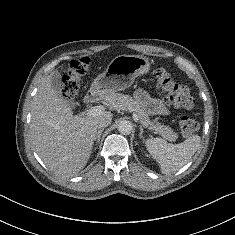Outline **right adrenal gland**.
Wrapping results in <instances>:
<instances>
[{"instance_id": "obj_1", "label": "right adrenal gland", "mask_w": 235, "mask_h": 235, "mask_svg": "<svg viewBox=\"0 0 235 235\" xmlns=\"http://www.w3.org/2000/svg\"><path fill=\"white\" fill-rule=\"evenodd\" d=\"M103 131H104V128H101L96 133L95 138H94V141H96V143L100 142L101 134H102Z\"/></svg>"}]
</instances>
